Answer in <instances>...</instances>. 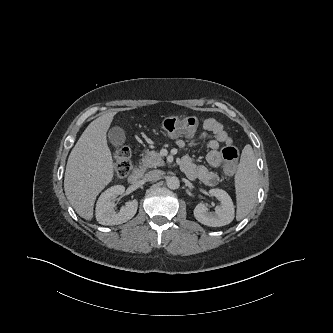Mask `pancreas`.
I'll list each match as a JSON object with an SVG mask.
<instances>
[{"label": "pancreas", "instance_id": "obj_1", "mask_svg": "<svg viewBox=\"0 0 333 333\" xmlns=\"http://www.w3.org/2000/svg\"><path fill=\"white\" fill-rule=\"evenodd\" d=\"M164 165V160L161 155L156 151L146 150L142 157V167L146 168H157Z\"/></svg>", "mask_w": 333, "mask_h": 333}]
</instances>
